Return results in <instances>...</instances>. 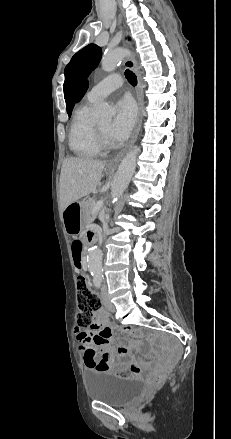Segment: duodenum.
Masks as SVG:
<instances>
[{
    "label": "duodenum",
    "mask_w": 231,
    "mask_h": 439,
    "mask_svg": "<svg viewBox=\"0 0 231 439\" xmlns=\"http://www.w3.org/2000/svg\"><path fill=\"white\" fill-rule=\"evenodd\" d=\"M94 238H95V235H94L93 232H91V233L89 234V237H88L89 241H90V242H93V241H94Z\"/></svg>",
    "instance_id": "1"
}]
</instances>
